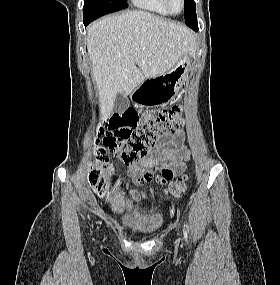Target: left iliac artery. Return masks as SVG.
<instances>
[{
    "mask_svg": "<svg viewBox=\"0 0 280 285\" xmlns=\"http://www.w3.org/2000/svg\"><path fill=\"white\" fill-rule=\"evenodd\" d=\"M184 237H185V239L187 241L188 240V235H187V231L185 230V228H184Z\"/></svg>",
    "mask_w": 280,
    "mask_h": 285,
    "instance_id": "left-iliac-artery-1",
    "label": "left iliac artery"
}]
</instances>
